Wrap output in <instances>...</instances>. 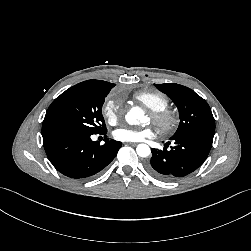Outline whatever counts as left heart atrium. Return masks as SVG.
Segmentation results:
<instances>
[{"mask_svg": "<svg viewBox=\"0 0 251 251\" xmlns=\"http://www.w3.org/2000/svg\"><path fill=\"white\" fill-rule=\"evenodd\" d=\"M153 129L150 127L143 129L135 128H119L114 132V137L122 142H141L147 138L152 137Z\"/></svg>", "mask_w": 251, "mask_h": 251, "instance_id": "obj_1", "label": "left heart atrium"}]
</instances>
